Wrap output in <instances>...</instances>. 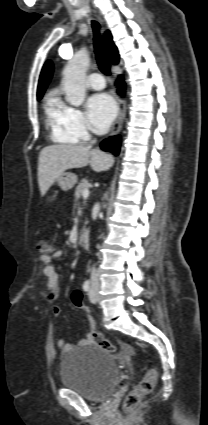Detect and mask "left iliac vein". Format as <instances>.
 Here are the masks:
<instances>
[{"mask_svg": "<svg viewBox=\"0 0 208 425\" xmlns=\"http://www.w3.org/2000/svg\"><path fill=\"white\" fill-rule=\"evenodd\" d=\"M98 289H99V283L98 282H94L91 286V289L89 291V299L92 303L97 302V293H98Z\"/></svg>", "mask_w": 208, "mask_h": 425, "instance_id": "1", "label": "left iliac vein"}]
</instances>
